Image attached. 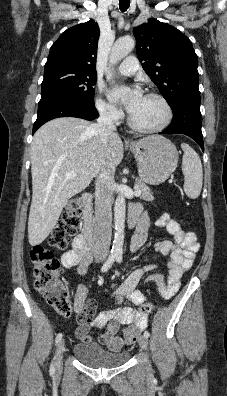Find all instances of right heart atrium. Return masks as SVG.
Masks as SVG:
<instances>
[{
  "instance_id": "obj_1",
  "label": "right heart atrium",
  "mask_w": 227,
  "mask_h": 396,
  "mask_svg": "<svg viewBox=\"0 0 227 396\" xmlns=\"http://www.w3.org/2000/svg\"><path fill=\"white\" fill-rule=\"evenodd\" d=\"M96 108L98 113L105 119L111 122H118L123 117V113L115 105L106 101L99 91V95L96 99Z\"/></svg>"
}]
</instances>
